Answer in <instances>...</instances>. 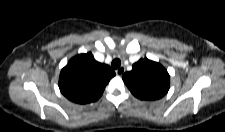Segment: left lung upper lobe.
Listing matches in <instances>:
<instances>
[{
  "mask_svg": "<svg viewBox=\"0 0 225 132\" xmlns=\"http://www.w3.org/2000/svg\"><path fill=\"white\" fill-rule=\"evenodd\" d=\"M132 94L143 100H156L169 90L170 76L159 63L147 58L133 64L132 70L122 76Z\"/></svg>",
  "mask_w": 225,
  "mask_h": 132,
  "instance_id": "1",
  "label": "left lung upper lobe"
}]
</instances>
